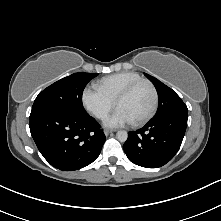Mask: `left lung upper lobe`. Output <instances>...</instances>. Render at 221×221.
<instances>
[{
  "instance_id": "1",
  "label": "left lung upper lobe",
  "mask_w": 221,
  "mask_h": 221,
  "mask_svg": "<svg viewBox=\"0 0 221 221\" xmlns=\"http://www.w3.org/2000/svg\"><path fill=\"white\" fill-rule=\"evenodd\" d=\"M145 75L154 84L159 97L158 110L152 120H157L173 113L188 112L187 106L175 91H173L171 88L163 84L155 77L146 73Z\"/></svg>"
}]
</instances>
